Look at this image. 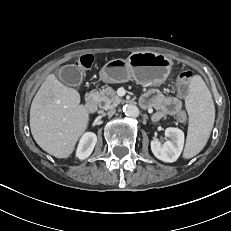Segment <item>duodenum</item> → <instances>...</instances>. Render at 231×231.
<instances>
[{"mask_svg":"<svg viewBox=\"0 0 231 231\" xmlns=\"http://www.w3.org/2000/svg\"><path fill=\"white\" fill-rule=\"evenodd\" d=\"M85 109L89 113H94L97 109V100L93 94H89L85 101Z\"/></svg>","mask_w":231,"mask_h":231,"instance_id":"duodenum-1","label":"duodenum"}]
</instances>
